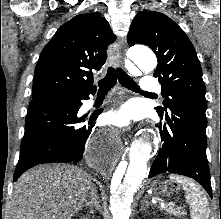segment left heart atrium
Segmentation results:
<instances>
[{"instance_id": "left-heart-atrium-1", "label": "left heart atrium", "mask_w": 221, "mask_h": 219, "mask_svg": "<svg viewBox=\"0 0 221 219\" xmlns=\"http://www.w3.org/2000/svg\"><path fill=\"white\" fill-rule=\"evenodd\" d=\"M131 117V110L127 106H122L118 109L109 111L107 121L113 126L122 128L129 124Z\"/></svg>"}]
</instances>
